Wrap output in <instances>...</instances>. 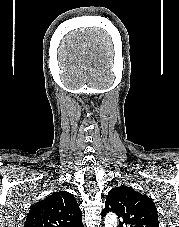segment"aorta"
Segmentation results:
<instances>
[{"label":"aorta","instance_id":"obj_1","mask_svg":"<svg viewBox=\"0 0 179 227\" xmlns=\"http://www.w3.org/2000/svg\"><path fill=\"white\" fill-rule=\"evenodd\" d=\"M117 216L114 213H110L105 217V227H117Z\"/></svg>","mask_w":179,"mask_h":227}]
</instances>
